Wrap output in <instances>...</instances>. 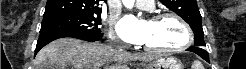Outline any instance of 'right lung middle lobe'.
<instances>
[{"instance_id": "obj_1", "label": "right lung middle lobe", "mask_w": 246, "mask_h": 69, "mask_svg": "<svg viewBox=\"0 0 246 69\" xmlns=\"http://www.w3.org/2000/svg\"><path fill=\"white\" fill-rule=\"evenodd\" d=\"M100 15L94 14H60L43 17L40 34L50 32H72L80 35L94 36L101 34L98 25Z\"/></svg>"}]
</instances>
